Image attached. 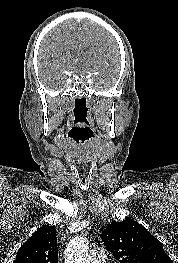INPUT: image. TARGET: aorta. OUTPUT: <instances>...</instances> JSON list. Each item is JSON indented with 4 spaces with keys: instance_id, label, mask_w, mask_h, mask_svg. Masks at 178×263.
I'll return each instance as SVG.
<instances>
[{
    "instance_id": "762f6f07",
    "label": "aorta",
    "mask_w": 178,
    "mask_h": 263,
    "mask_svg": "<svg viewBox=\"0 0 178 263\" xmlns=\"http://www.w3.org/2000/svg\"><path fill=\"white\" fill-rule=\"evenodd\" d=\"M88 241L86 237L73 238L65 252V263H89L87 258Z\"/></svg>"
}]
</instances>
